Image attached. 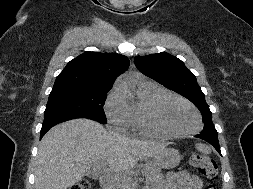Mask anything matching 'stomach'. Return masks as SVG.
<instances>
[{
  "label": "stomach",
  "mask_w": 253,
  "mask_h": 189,
  "mask_svg": "<svg viewBox=\"0 0 253 189\" xmlns=\"http://www.w3.org/2000/svg\"><path fill=\"white\" fill-rule=\"evenodd\" d=\"M180 160V153L174 148H165L159 154L154 156V164L165 169L174 168L179 164Z\"/></svg>",
  "instance_id": "obj_1"
}]
</instances>
